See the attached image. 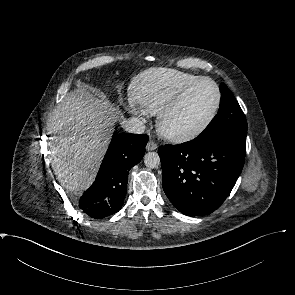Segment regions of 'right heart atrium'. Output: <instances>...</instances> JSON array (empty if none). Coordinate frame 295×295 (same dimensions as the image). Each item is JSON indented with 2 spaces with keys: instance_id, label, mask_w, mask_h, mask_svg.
Returning <instances> with one entry per match:
<instances>
[{
  "instance_id": "right-heart-atrium-1",
  "label": "right heart atrium",
  "mask_w": 295,
  "mask_h": 295,
  "mask_svg": "<svg viewBox=\"0 0 295 295\" xmlns=\"http://www.w3.org/2000/svg\"><path fill=\"white\" fill-rule=\"evenodd\" d=\"M130 110L132 113H134L142 119H146L151 115L142 105H138L133 101L130 102Z\"/></svg>"
}]
</instances>
